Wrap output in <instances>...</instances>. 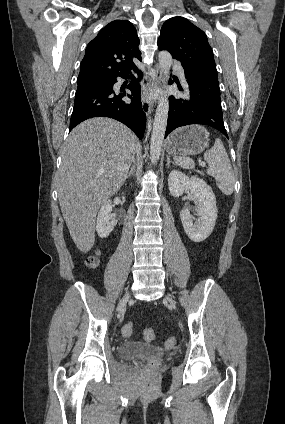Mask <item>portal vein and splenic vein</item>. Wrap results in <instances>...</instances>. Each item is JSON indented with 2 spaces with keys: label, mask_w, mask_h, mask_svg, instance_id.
<instances>
[{
  "label": "portal vein and splenic vein",
  "mask_w": 285,
  "mask_h": 424,
  "mask_svg": "<svg viewBox=\"0 0 285 424\" xmlns=\"http://www.w3.org/2000/svg\"><path fill=\"white\" fill-rule=\"evenodd\" d=\"M202 166H205V163H201Z\"/></svg>",
  "instance_id": "18ae733b"
}]
</instances>
